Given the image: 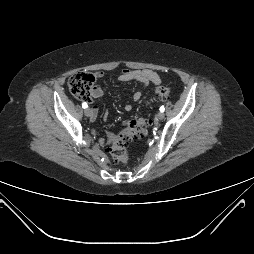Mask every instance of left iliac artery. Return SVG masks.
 <instances>
[{"label":"left iliac artery","mask_w":254,"mask_h":254,"mask_svg":"<svg viewBox=\"0 0 254 254\" xmlns=\"http://www.w3.org/2000/svg\"><path fill=\"white\" fill-rule=\"evenodd\" d=\"M164 110H165V107H164V106H161V107H160V111H161V112H164Z\"/></svg>","instance_id":"1"}]
</instances>
